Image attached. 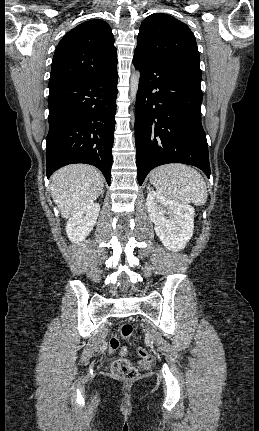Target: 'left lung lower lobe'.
Returning <instances> with one entry per match:
<instances>
[{
  "instance_id": "obj_1",
  "label": "left lung lower lobe",
  "mask_w": 259,
  "mask_h": 431,
  "mask_svg": "<svg viewBox=\"0 0 259 431\" xmlns=\"http://www.w3.org/2000/svg\"><path fill=\"white\" fill-rule=\"evenodd\" d=\"M133 64L140 71L135 116L139 185L153 168L167 163L193 165L209 177L201 80L139 52H134Z\"/></svg>"
}]
</instances>
